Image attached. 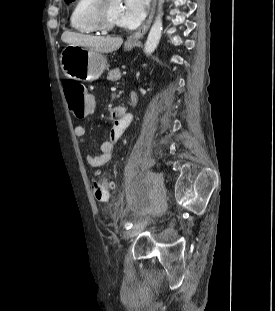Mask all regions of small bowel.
<instances>
[{
    "instance_id": "small-bowel-1",
    "label": "small bowel",
    "mask_w": 275,
    "mask_h": 311,
    "mask_svg": "<svg viewBox=\"0 0 275 311\" xmlns=\"http://www.w3.org/2000/svg\"><path fill=\"white\" fill-rule=\"evenodd\" d=\"M135 99V96H132ZM107 124L111 126L108 140L104 141L100 147V154L86 156V163L91 168H98L108 163L113 156L117 141L122 137L127 127L132 121L131 114L125 110H113ZM74 135L80 144L85 142L86 129L83 125L74 128Z\"/></svg>"
}]
</instances>
